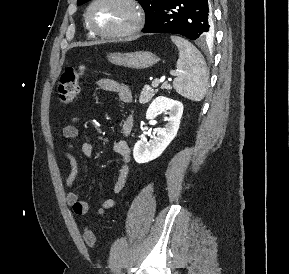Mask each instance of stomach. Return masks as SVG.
I'll use <instances>...</instances> for the list:
<instances>
[{
	"label": "stomach",
	"mask_w": 289,
	"mask_h": 274,
	"mask_svg": "<svg viewBox=\"0 0 289 274\" xmlns=\"http://www.w3.org/2000/svg\"><path fill=\"white\" fill-rule=\"evenodd\" d=\"M107 58L113 64L136 69L151 67L159 61L156 55L148 51L110 53Z\"/></svg>",
	"instance_id": "0dacf381"
}]
</instances>
